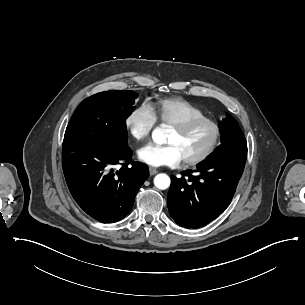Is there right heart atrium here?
<instances>
[{
    "mask_svg": "<svg viewBox=\"0 0 305 305\" xmlns=\"http://www.w3.org/2000/svg\"><path fill=\"white\" fill-rule=\"evenodd\" d=\"M155 124L156 118L146 104L138 105L125 118V127L130 137L136 141L148 138Z\"/></svg>",
    "mask_w": 305,
    "mask_h": 305,
    "instance_id": "d8ad5b80",
    "label": "right heart atrium"
}]
</instances>
